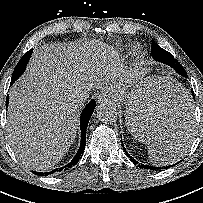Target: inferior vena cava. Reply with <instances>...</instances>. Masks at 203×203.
<instances>
[{"label":"inferior vena cava","instance_id":"1","mask_svg":"<svg viewBox=\"0 0 203 203\" xmlns=\"http://www.w3.org/2000/svg\"><path fill=\"white\" fill-rule=\"evenodd\" d=\"M88 98V94L86 93H81L78 95V102L82 103Z\"/></svg>","mask_w":203,"mask_h":203}]
</instances>
